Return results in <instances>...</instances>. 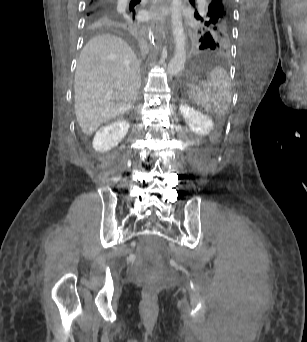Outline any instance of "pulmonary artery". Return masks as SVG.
<instances>
[{
    "mask_svg": "<svg viewBox=\"0 0 307 342\" xmlns=\"http://www.w3.org/2000/svg\"><path fill=\"white\" fill-rule=\"evenodd\" d=\"M125 2H126V1H122L121 10H122L123 12L125 11V7H126Z\"/></svg>",
    "mask_w": 307,
    "mask_h": 342,
    "instance_id": "pulmonary-artery-1",
    "label": "pulmonary artery"
}]
</instances>
